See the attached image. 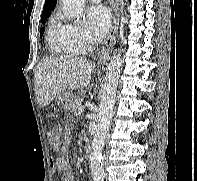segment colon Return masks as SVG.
I'll return each instance as SVG.
<instances>
[{
	"label": "colon",
	"instance_id": "5ec220e1",
	"mask_svg": "<svg viewBox=\"0 0 197 181\" xmlns=\"http://www.w3.org/2000/svg\"><path fill=\"white\" fill-rule=\"evenodd\" d=\"M47 134L51 146L54 149H59L62 144V137L59 128L56 126H51L48 128Z\"/></svg>",
	"mask_w": 197,
	"mask_h": 181
}]
</instances>
